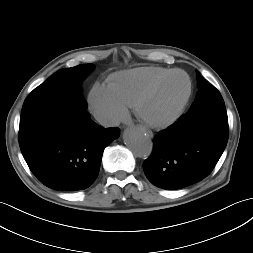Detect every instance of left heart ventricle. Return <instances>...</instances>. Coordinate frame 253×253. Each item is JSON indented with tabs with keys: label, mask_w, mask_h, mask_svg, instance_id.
Returning a JSON list of instances; mask_svg holds the SVG:
<instances>
[{
	"label": "left heart ventricle",
	"mask_w": 253,
	"mask_h": 253,
	"mask_svg": "<svg viewBox=\"0 0 253 253\" xmlns=\"http://www.w3.org/2000/svg\"><path fill=\"white\" fill-rule=\"evenodd\" d=\"M187 88L188 83L184 75H173L148 99L144 106V113L155 120L169 117L184 98Z\"/></svg>",
	"instance_id": "b2bd125f"
}]
</instances>
